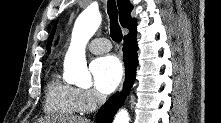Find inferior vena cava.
Here are the masks:
<instances>
[{
  "label": "inferior vena cava",
  "mask_w": 221,
  "mask_h": 123,
  "mask_svg": "<svg viewBox=\"0 0 221 123\" xmlns=\"http://www.w3.org/2000/svg\"><path fill=\"white\" fill-rule=\"evenodd\" d=\"M105 100H106V97H105L104 95L100 94V95L97 96V102H98V104L104 103Z\"/></svg>",
  "instance_id": "inferior-vena-cava-1"
}]
</instances>
